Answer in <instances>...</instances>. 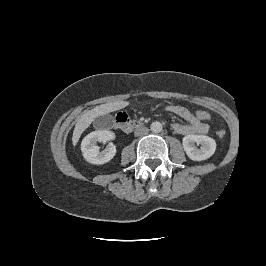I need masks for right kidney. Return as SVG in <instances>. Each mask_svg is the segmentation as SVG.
Segmentation results:
<instances>
[{"mask_svg": "<svg viewBox=\"0 0 266 266\" xmlns=\"http://www.w3.org/2000/svg\"><path fill=\"white\" fill-rule=\"evenodd\" d=\"M115 139V134L107 129L94 131L88 134L81 143V150L86 161L101 165L109 162L116 154V147L110 144L103 151L96 145L97 141H109Z\"/></svg>", "mask_w": 266, "mask_h": 266, "instance_id": "obj_1", "label": "right kidney"}]
</instances>
